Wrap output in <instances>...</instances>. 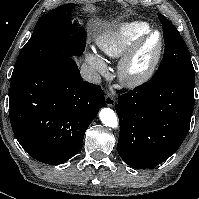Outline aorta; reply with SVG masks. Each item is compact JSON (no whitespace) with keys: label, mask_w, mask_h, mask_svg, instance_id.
Listing matches in <instances>:
<instances>
[{"label":"aorta","mask_w":199,"mask_h":199,"mask_svg":"<svg viewBox=\"0 0 199 199\" xmlns=\"http://www.w3.org/2000/svg\"><path fill=\"white\" fill-rule=\"evenodd\" d=\"M101 122L108 127L117 128L118 119L115 112L110 108H103L99 112Z\"/></svg>","instance_id":"aorta-1"}]
</instances>
